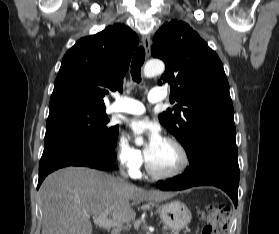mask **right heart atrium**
<instances>
[{
	"mask_svg": "<svg viewBox=\"0 0 279 234\" xmlns=\"http://www.w3.org/2000/svg\"><path fill=\"white\" fill-rule=\"evenodd\" d=\"M116 159L119 165L131 175L137 173L144 162L142 151L132 145L124 135L117 140Z\"/></svg>",
	"mask_w": 279,
	"mask_h": 234,
	"instance_id": "obj_1",
	"label": "right heart atrium"
}]
</instances>
